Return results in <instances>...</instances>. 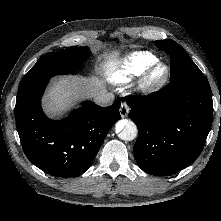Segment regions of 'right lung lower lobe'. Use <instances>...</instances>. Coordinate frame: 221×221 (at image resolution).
Instances as JSON below:
<instances>
[{
  "label": "right lung lower lobe",
  "mask_w": 221,
  "mask_h": 221,
  "mask_svg": "<svg viewBox=\"0 0 221 221\" xmlns=\"http://www.w3.org/2000/svg\"><path fill=\"white\" fill-rule=\"evenodd\" d=\"M49 79L19 87L15 117L27 158L44 172L71 177L87 171L108 131L121 118L120 101L100 107L85 101L67 118L54 121L41 108Z\"/></svg>",
  "instance_id": "obj_1"
}]
</instances>
